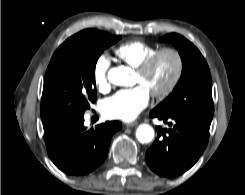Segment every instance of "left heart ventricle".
<instances>
[{
    "mask_svg": "<svg viewBox=\"0 0 245 195\" xmlns=\"http://www.w3.org/2000/svg\"><path fill=\"white\" fill-rule=\"evenodd\" d=\"M175 69L174 58L170 54L162 55L149 72L140 76L135 74V83L142 85L149 93L163 89L170 81Z\"/></svg>",
    "mask_w": 245,
    "mask_h": 195,
    "instance_id": "obj_1",
    "label": "left heart ventricle"
}]
</instances>
